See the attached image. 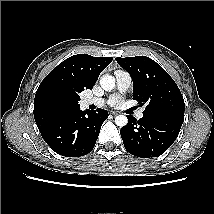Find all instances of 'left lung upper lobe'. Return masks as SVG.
I'll list each match as a JSON object with an SVG mask.
<instances>
[{"label": "left lung upper lobe", "instance_id": "obj_1", "mask_svg": "<svg viewBox=\"0 0 214 214\" xmlns=\"http://www.w3.org/2000/svg\"><path fill=\"white\" fill-rule=\"evenodd\" d=\"M133 81V99L146 104L145 116L184 120L183 96L171 76L146 56L115 58Z\"/></svg>", "mask_w": 214, "mask_h": 214}]
</instances>
